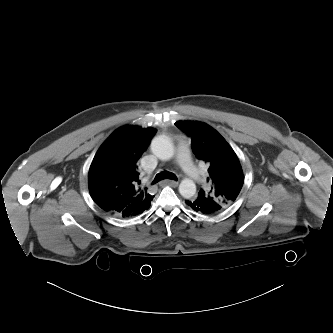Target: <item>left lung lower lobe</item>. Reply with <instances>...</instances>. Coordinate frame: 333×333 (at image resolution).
Listing matches in <instances>:
<instances>
[{
    "label": "left lung lower lobe",
    "mask_w": 333,
    "mask_h": 333,
    "mask_svg": "<svg viewBox=\"0 0 333 333\" xmlns=\"http://www.w3.org/2000/svg\"><path fill=\"white\" fill-rule=\"evenodd\" d=\"M186 204L196 212L212 214L221 211L220 205L213 199L207 198L202 194L192 197L185 201Z\"/></svg>",
    "instance_id": "1"
}]
</instances>
